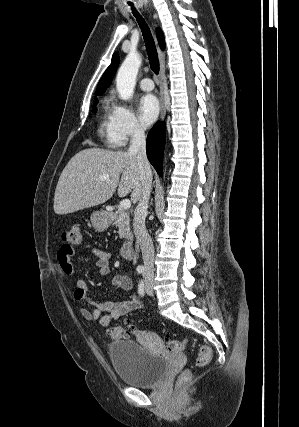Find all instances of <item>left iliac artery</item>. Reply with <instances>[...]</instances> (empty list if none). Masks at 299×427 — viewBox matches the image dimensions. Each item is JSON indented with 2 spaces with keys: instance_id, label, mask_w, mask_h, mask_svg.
<instances>
[{
  "instance_id": "44dca946",
  "label": "left iliac artery",
  "mask_w": 299,
  "mask_h": 427,
  "mask_svg": "<svg viewBox=\"0 0 299 427\" xmlns=\"http://www.w3.org/2000/svg\"><path fill=\"white\" fill-rule=\"evenodd\" d=\"M138 293L140 294V295H143L144 294V282L141 280L140 281V283H139V285H138Z\"/></svg>"
}]
</instances>
